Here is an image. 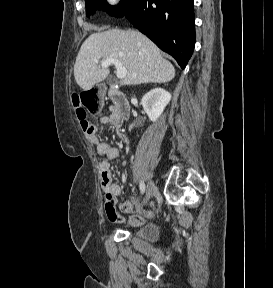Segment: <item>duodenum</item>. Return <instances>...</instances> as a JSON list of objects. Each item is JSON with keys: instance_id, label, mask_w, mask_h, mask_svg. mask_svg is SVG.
<instances>
[{"instance_id": "410a0bca", "label": "duodenum", "mask_w": 273, "mask_h": 288, "mask_svg": "<svg viewBox=\"0 0 273 288\" xmlns=\"http://www.w3.org/2000/svg\"><path fill=\"white\" fill-rule=\"evenodd\" d=\"M107 94L114 104L116 115L122 120H126L130 115V104L126 96L116 87H110Z\"/></svg>"}]
</instances>
